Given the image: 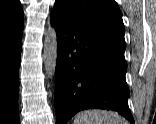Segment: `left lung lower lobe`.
<instances>
[{"label": "left lung lower lobe", "instance_id": "obj_1", "mask_svg": "<svg viewBox=\"0 0 156 124\" xmlns=\"http://www.w3.org/2000/svg\"><path fill=\"white\" fill-rule=\"evenodd\" d=\"M57 33L55 109L57 124H66L85 109H106L134 119L128 107L126 44L70 20L57 7L51 13Z\"/></svg>", "mask_w": 156, "mask_h": 124}]
</instances>
